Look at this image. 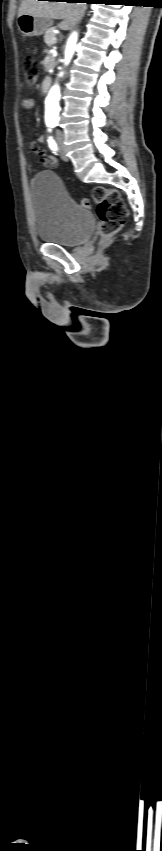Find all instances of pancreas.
<instances>
[{
  "label": "pancreas",
  "instance_id": "pancreas-1",
  "mask_svg": "<svg viewBox=\"0 0 162 851\" xmlns=\"http://www.w3.org/2000/svg\"><path fill=\"white\" fill-rule=\"evenodd\" d=\"M55 37H56V35L53 32V28H51L46 32V34L44 36V41L48 46H51V45L55 44V42H56V41H54Z\"/></svg>",
  "mask_w": 162,
  "mask_h": 851
}]
</instances>
